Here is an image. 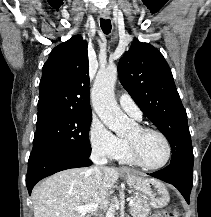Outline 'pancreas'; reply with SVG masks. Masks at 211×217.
Instances as JSON below:
<instances>
[{"mask_svg":"<svg viewBox=\"0 0 211 217\" xmlns=\"http://www.w3.org/2000/svg\"><path fill=\"white\" fill-rule=\"evenodd\" d=\"M134 205L130 209L133 217H148L150 207L146 199L134 197L132 198Z\"/></svg>","mask_w":211,"mask_h":217,"instance_id":"cf45deb5","label":"pancreas"}]
</instances>
